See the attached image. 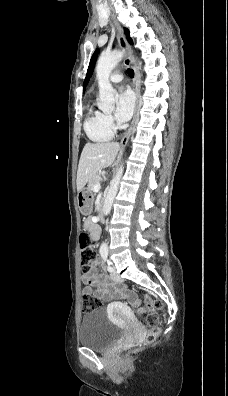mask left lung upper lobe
<instances>
[{"label":"left lung upper lobe","mask_w":228,"mask_h":396,"mask_svg":"<svg viewBox=\"0 0 228 396\" xmlns=\"http://www.w3.org/2000/svg\"><path fill=\"white\" fill-rule=\"evenodd\" d=\"M125 33H126V35L128 37L129 42L132 44L133 43L132 39L129 37V30L125 29ZM97 54H98V50L95 51V53L93 54V56L91 58V61H90L89 67H88V71H87V75H86V78H85L84 84H83V91L86 88V85H87V83H88V81L90 79V76L92 75V71H93L94 66H95Z\"/></svg>","instance_id":"5c2ea615"}]
</instances>
